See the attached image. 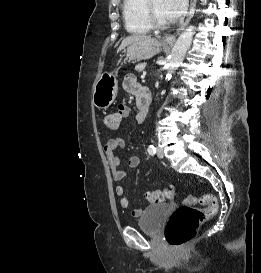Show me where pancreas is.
<instances>
[{
	"mask_svg": "<svg viewBox=\"0 0 261 273\" xmlns=\"http://www.w3.org/2000/svg\"><path fill=\"white\" fill-rule=\"evenodd\" d=\"M145 67H146V63H145V62H143V63H138V64L135 66V70H136L137 72H142V71H144Z\"/></svg>",
	"mask_w": 261,
	"mask_h": 273,
	"instance_id": "cf45deb5",
	"label": "pancreas"
}]
</instances>
